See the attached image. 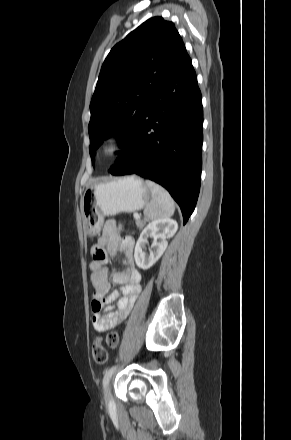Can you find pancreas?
I'll list each match as a JSON object with an SVG mask.
<instances>
[{"label": "pancreas", "mask_w": 291, "mask_h": 440, "mask_svg": "<svg viewBox=\"0 0 291 440\" xmlns=\"http://www.w3.org/2000/svg\"><path fill=\"white\" fill-rule=\"evenodd\" d=\"M135 224L138 228L142 229L145 226V221L141 219H136Z\"/></svg>", "instance_id": "cf45deb5"}]
</instances>
